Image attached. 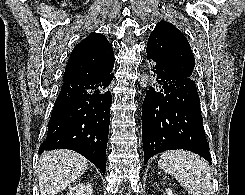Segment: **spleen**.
Masks as SVG:
<instances>
[{
    "mask_svg": "<svg viewBox=\"0 0 245 195\" xmlns=\"http://www.w3.org/2000/svg\"><path fill=\"white\" fill-rule=\"evenodd\" d=\"M158 166L172 175L190 195H211L212 174L200 156L183 150L167 151Z\"/></svg>",
    "mask_w": 245,
    "mask_h": 195,
    "instance_id": "spleen-1",
    "label": "spleen"
}]
</instances>
